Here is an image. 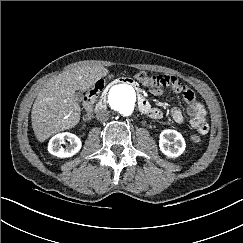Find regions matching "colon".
<instances>
[{"instance_id":"5ec220e1","label":"colon","mask_w":243,"mask_h":243,"mask_svg":"<svg viewBox=\"0 0 243 243\" xmlns=\"http://www.w3.org/2000/svg\"><path fill=\"white\" fill-rule=\"evenodd\" d=\"M135 79L142 84L149 86L151 88H158L161 86H164L167 83V80L164 76L158 75V76H149L145 72H139L135 75ZM104 88V80H99L95 83L93 87H91L84 96V104L85 106L89 109L92 104L94 103L95 99L99 95V93L103 90ZM190 140L198 144L201 141L200 136L198 135H192L190 137Z\"/></svg>"}]
</instances>
